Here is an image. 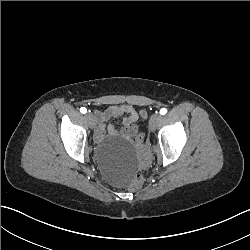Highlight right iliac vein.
Instances as JSON below:
<instances>
[{
  "label": "right iliac vein",
  "instance_id": "obj_1",
  "mask_svg": "<svg viewBox=\"0 0 250 250\" xmlns=\"http://www.w3.org/2000/svg\"><path fill=\"white\" fill-rule=\"evenodd\" d=\"M85 118L88 121V124L91 128H94L96 126V119L93 114L86 113Z\"/></svg>",
  "mask_w": 250,
  "mask_h": 250
}]
</instances>
